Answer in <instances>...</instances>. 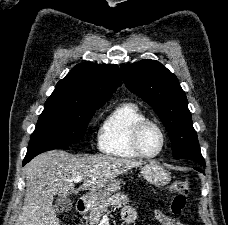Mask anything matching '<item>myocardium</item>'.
<instances>
[{
    "instance_id": "obj_1",
    "label": "myocardium",
    "mask_w": 228,
    "mask_h": 225,
    "mask_svg": "<svg viewBox=\"0 0 228 225\" xmlns=\"http://www.w3.org/2000/svg\"><path fill=\"white\" fill-rule=\"evenodd\" d=\"M150 127L157 129L161 135V147H160L159 151L155 154L147 153L145 151V149L143 147V143H142L143 135H144L145 131ZM166 143H167V134H166L165 129L163 128V126L160 123H158L154 120L146 119V120L140 122L134 130V134H133L134 147H135L136 151L144 158L150 159V158L159 157L164 152Z\"/></svg>"
}]
</instances>
